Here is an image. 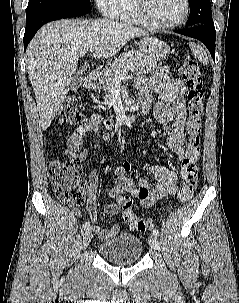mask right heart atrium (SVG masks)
I'll return each instance as SVG.
<instances>
[{
  "label": "right heart atrium",
  "mask_w": 239,
  "mask_h": 303,
  "mask_svg": "<svg viewBox=\"0 0 239 303\" xmlns=\"http://www.w3.org/2000/svg\"><path fill=\"white\" fill-rule=\"evenodd\" d=\"M98 9L107 17H117L123 8L124 0H94Z\"/></svg>",
  "instance_id": "obj_1"
}]
</instances>
